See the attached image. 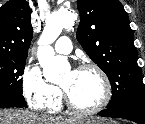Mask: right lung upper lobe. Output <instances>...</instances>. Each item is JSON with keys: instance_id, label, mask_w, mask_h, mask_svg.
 <instances>
[{"instance_id": "cb5924a9", "label": "right lung upper lobe", "mask_w": 145, "mask_h": 124, "mask_svg": "<svg viewBox=\"0 0 145 124\" xmlns=\"http://www.w3.org/2000/svg\"><path fill=\"white\" fill-rule=\"evenodd\" d=\"M30 14L26 0H10L0 7V56L27 58L33 37Z\"/></svg>"}]
</instances>
